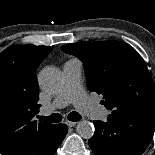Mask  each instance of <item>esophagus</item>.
I'll use <instances>...</instances> for the list:
<instances>
[{
	"mask_svg": "<svg viewBox=\"0 0 155 155\" xmlns=\"http://www.w3.org/2000/svg\"><path fill=\"white\" fill-rule=\"evenodd\" d=\"M66 124L69 126V127H74L76 124H77V122H74V121H66Z\"/></svg>",
	"mask_w": 155,
	"mask_h": 155,
	"instance_id": "1",
	"label": "esophagus"
}]
</instances>
